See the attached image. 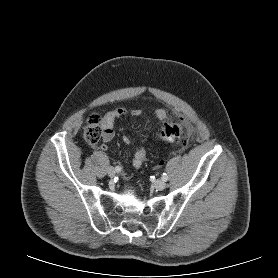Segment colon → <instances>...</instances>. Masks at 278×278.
<instances>
[{
  "instance_id": "5ec220e1",
  "label": "colon",
  "mask_w": 278,
  "mask_h": 278,
  "mask_svg": "<svg viewBox=\"0 0 278 278\" xmlns=\"http://www.w3.org/2000/svg\"><path fill=\"white\" fill-rule=\"evenodd\" d=\"M103 129L101 127V117L93 114L88 118L84 129L85 140L90 145H97L101 139ZM185 138V131L180 122L174 121L165 124L157 133L156 139L167 142H181Z\"/></svg>"
}]
</instances>
